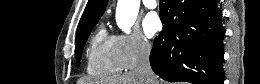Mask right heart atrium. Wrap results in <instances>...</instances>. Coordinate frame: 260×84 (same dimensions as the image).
I'll return each instance as SVG.
<instances>
[{"label": "right heart atrium", "instance_id": "1", "mask_svg": "<svg viewBox=\"0 0 260 84\" xmlns=\"http://www.w3.org/2000/svg\"><path fill=\"white\" fill-rule=\"evenodd\" d=\"M114 37L117 58L123 68H134L150 56L152 47L138 29Z\"/></svg>", "mask_w": 260, "mask_h": 84}]
</instances>
